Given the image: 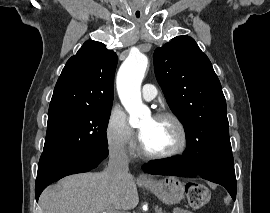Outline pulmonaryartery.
I'll list each match as a JSON object with an SVG mask.
<instances>
[{"mask_svg": "<svg viewBox=\"0 0 270 213\" xmlns=\"http://www.w3.org/2000/svg\"><path fill=\"white\" fill-rule=\"evenodd\" d=\"M156 88L152 84H145L142 90V96L146 101L154 100L156 97Z\"/></svg>", "mask_w": 270, "mask_h": 213, "instance_id": "1", "label": "pulmonary artery"}]
</instances>
